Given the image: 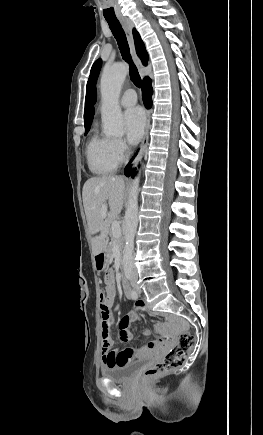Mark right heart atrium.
I'll return each instance as SVG.
<instances>
[{"label":"right heart atrium","mask_w":263,"mask_h":435,"mask_svg":"<svg viewBox=\"0 0 263 435\" xmlns=\"http://www.w3.org/2000/svg\"><path fill=\"white\" fill-rule=\"evenodd\" d=\"M113 154L118 162L123 161L128 155L127 144L121 139L113 140Z\"/></svg>","instance_id":"obj_1"}]
</instances>
